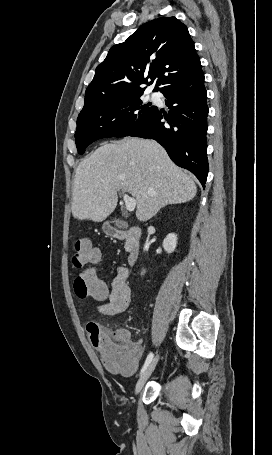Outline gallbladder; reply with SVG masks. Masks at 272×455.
Here are the masks:
<instances>
[{"mask_svg":"<svg viewBox=\"0 0 272 455\" xmlns=\"http://www.w3.org/2000/svg\"><path fill=\"white\" fill-rule=\"evenodd\" d=\"M114 223L116 224V226L120 227V228H126L127 225L125 224V222H122L120 220H114Z\"/></svg>","mask_w":272,"mask_h":455,"instance_id":"1","label":"gallbladder"}]
</instances>
